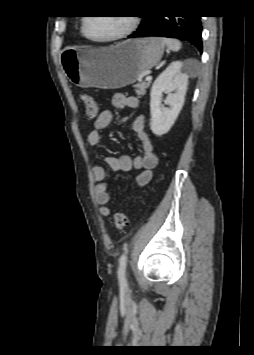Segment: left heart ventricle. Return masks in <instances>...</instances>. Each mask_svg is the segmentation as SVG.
<instances>
[{
  "mask_svg": "<svg viewBox=\"0 0 254 355\" xmlns=\"http://www.w3.org/2000/svg\"><path fill=\"white\" fill-rule=\"evenodd\" d=\"M129 21L128 16L92 17L88 20L87 33L93 38H109L124 31Z\"/></svg>",
  "mask_w": 254,
  "mask_h": 355,
  "instance_id": "left-heart-ventricle-1",
  "label": "left heart ventricle"
}]
</instances>
